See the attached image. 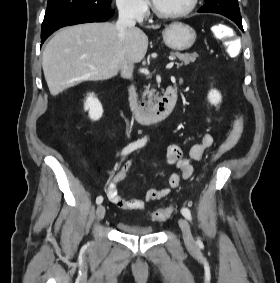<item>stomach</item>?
Listing matches in <instances>:
<instances>
[{
    "mask_svg": "<svg viewBox=\"0 0 280 283\" xmlns=\"http://www.w3.org/2000/svg\"><path fill=\"white\" fill-rule=\"evenodd\" d=\"M167 47L175 51H184L192 47L196 40L195 30L184 23L174 22L162 32Z\"/></svg>",
    "mask_w": 280,
    "mask_h": 283,
    "instance_id": "1",
    "label": "stomach"
}]
</instances>
